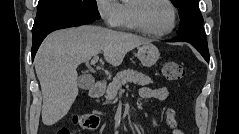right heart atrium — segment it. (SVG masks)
I'll list each match as a JSON object with an SVG mask.
<instances>
[{"instance_id": "1", "label": "right heart atrium", "mask_w": 239, "mask_h": 134, "mask_svg": "<svg viewBox=\"0 0 239 134\" xmlns=\"http://www.w3.org/2000/svg\"><path fill=\"white\" fill-rule=\"evenodd\" d=\"M97 11L109 27H117L120 22V4L116 0H97Z\"/></svg>"}]
</instances>
